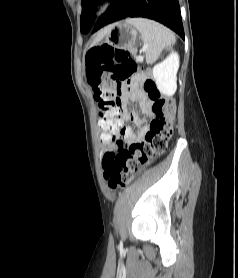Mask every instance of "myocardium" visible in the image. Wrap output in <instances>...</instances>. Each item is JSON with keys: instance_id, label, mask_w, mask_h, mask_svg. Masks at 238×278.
Instances as JSON below:
<instances>
[{"instance_id": "myocardium-1", "label": "myocardium", "mask_w": 238, "mask_h": 278, "mask_svg": "<svg viewBox=\"0 0 238 278\" xmlns=\"http://www.w3.org/2000/svg\"><path fill=\"white\" fill-rule=\"evenodd\" d=\"M113 3V0H100L94 7V14L101 15L105 13Z\"/></svg>"}]
</instances>
